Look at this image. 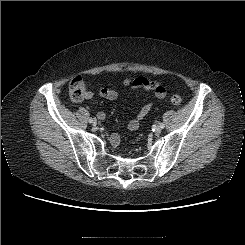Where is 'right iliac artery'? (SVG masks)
Segmentation results:
<instances>
[{
    "mask_svg": "<svg viewBox=\"0 0 245 245\" xmlns=\"http://www.w3.org/2000/svg\"><path fill=\"white\" fill-rule=\"evenodd\" d=\"M93 120H95V119H93V118H90V119H89V122H91V121H93ZM95 121H96V120H95Z\"/></svg>",
    "mask_w": 245,
    "mask_h": 245,
    "instance_id": "right-iliac-artery-1",
    "label": "right iliac artery"
}]
</instances>
